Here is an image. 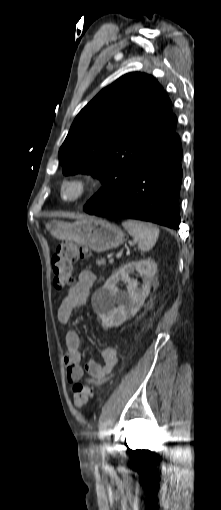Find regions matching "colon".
Instances as JSON below:
<instances>
[{
	"label": "colon",
	"mask_w": 221,
	"mask_h": 510,
	"mask_svg": "<svg viewBox=\"0 0 221 510\" xmlns=\"http://www.w3.org/2000/svg\"><path fill=\"white\" fill-rule=\"evenodd\" d=\"M90 252L87 248L72 242L61 243L52 258L54 286L63 289L71 284L74 265L77 261L87 259ZM74 402L78 408L83 407L92 397L90 386L76 381L73 384Z\"/></svg>",
	"instance_id": "obj_1"
}]
</instances>
